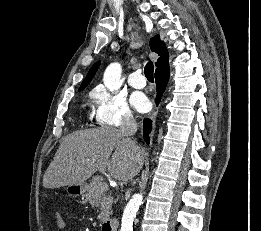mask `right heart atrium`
<instances>
[{
    "mask_svg": "<svg viewBox=\"0 0 261 231\" xmlns=\"http://www.w3.org/2000/svg\"><path fill=\"white\" fill-rule=\"evenodd\" d=\"M90 97L95 105L93 116L98 124L117 128L133 125L134 115L123 95L98 86L91 91Z\"/></svg>",
    "mask_w": 261,
    "mask_h": 231,
    "instance_id": "right-heart-atrium-1",
    "label": "right heart atrium"
}]
</instances>
